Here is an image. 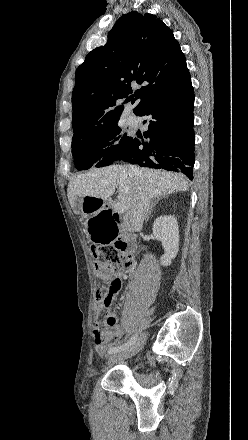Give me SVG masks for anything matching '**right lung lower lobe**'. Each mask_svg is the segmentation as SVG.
I'll return each mask as SVG.
<instances>
[{
    "mask_svg": "<svg viewBox=\"0 0 248 440\" xmlns=\"http://www.w3.org/2000/svg\"><path fill=\"white\" fill-rule=\"evenodd\" d=\"M194 91L191 79L144 102L135 112L145 116L148 130L132 137L119 159L139 166L182 172L193 179Z\"/></svg>",
    "mask_w": 248,
    "mask_h": 440,
    "instance_id": "obj_1",
    "label": "right lung lower lobe"
}]
</instances>
